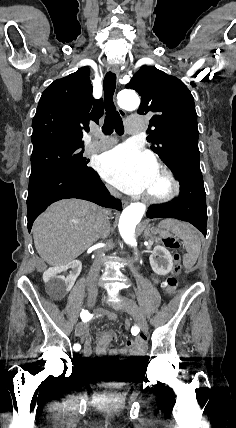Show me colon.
Listing matches in <instances>:
<instances>
[{
  "mask_svg": "<svg viewBox=\"0 0 236 428\" xmlns=\"http://www.w3.org/2000/svg\"><path fill=\"white\" fill-rule=\"evenodd\" d=\"M164 243L168 248H170L172 250L178 249L179 245H180L178 240L173 236L166 237L164 240ZM174 262H175V264H174V267L172 270V274L164 282V288H165L166 292L170 295L174 294L177 283H178V277L182 271L180 256L178 254L174 255ZM124 325L126 328L130 327V323L128 321H126L124 323Z\"/></svg>",
  "mask_w": 236,
  "mask_h": 428,
  "instance_id": "1",
  "label": "colon"
}]
</instances>
